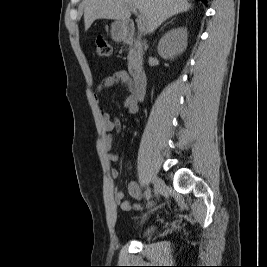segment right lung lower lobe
I'll use <instances>...</instances> for the list:
<instances>
[{
  "instance_id": "obj_1",
  "label": "right lung lower lobe",
  "mask_w": 267,
  "mask_h": 267,
  "mask_svg": "<svg viewBox=\"0 0 267 267\" xmlns=\"http://www.w3.org/2000/svg\"><path fill=\"white\" fill-rule=\"evenodd\" d=\"M204 4H206L207 3V0H201Z\"/></svg>"
}]
</instances>
